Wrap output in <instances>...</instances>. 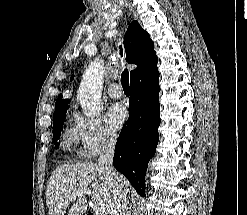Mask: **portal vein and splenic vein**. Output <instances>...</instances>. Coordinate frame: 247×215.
<instances>
[{"instance_id": "18ae733b", "label": "portal vein and splenic vein", "mask_w": 247, "mask_h": 215, "mask_svg": "<svg viewBox=\"0 0 247 215\" xmlns=\"http://www.w3.org/2000/svg\"><path fill=\"white\" fill-rule=\"evenodd\" d=\"M82 194L91 196L92 195V192L90 190H88V189L80 190L79 192H76L73 195L68 196V199L74 200V199H76L78 196H80ZM96 208H97V210H99V212L102 215H107L110 212L108 205L105 204V203H97L96 204Z\"/></svg>"}]
</instances>
